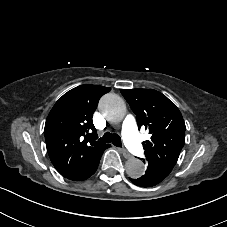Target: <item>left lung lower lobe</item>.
Masks as SVG:
<instances>
[{
  "label": "left lung lower lobe",
  "mask_w": 227,
  "mask_h": 227,
  "mask_svg": "<svg viewBox=\"0 0 227 227\" xmlns=\"http://www.w3.org/2000/svg\"><path fill=\"white\" fill-rule=\"evenodd\" d=\"M143 160V159H142ZM145 163V161L143 160ZM170 173L163 170L161 167L154 163H148V168L145 175L138 179H131L133 184L141 187H150L160 183L164 178H166Z\"/></svg>",
  "instance_id": "1"
}]
</instances>
